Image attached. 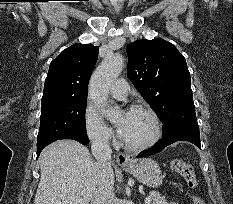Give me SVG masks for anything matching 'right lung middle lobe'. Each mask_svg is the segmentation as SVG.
I'll return each instance as SVG.
<instances>
[{
    "label": "right lung middle lobe",
    "instance_id": "right-lung-middle-lobe-1",
    "mask_svg": "<svg viewBox=\"0 0 233 204\" xmlns=\"http://www.w3.org/2000/svg\"><path fill=\"white\" fill-rule=\"evenodd\" d=\"M85 99H61L41 102L37 148L67 136L86 137Z\"/></svg>",
    "mask_w": 233,
    "mask_h": 204
}]
</instances>
